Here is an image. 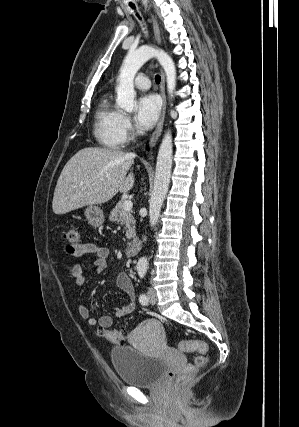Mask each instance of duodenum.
Returning a JSON list of instances; mask_svg holds the SVG:
<instances>
[{
	"label": "duodenum",
	"mask_w": 299,
	"mask_h": 427,
	"mask_svg": "<svg viewBox=\"0 0 299 427\" xmlns=\"http://www.w3.org/2000/svg\"><path fill=\"white\" fill-rule=\"evenodd\" d=\"M139 247L140 241L137 238L132 239L124 251L125 256L134 257L137 254Z\"/></svg>",
	"instance_id": "410a0bca"
}]
</instances>
